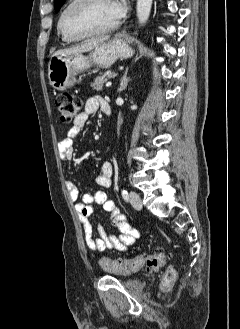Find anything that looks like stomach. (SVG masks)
Masks as SVG:
<instances>
[{"label":"stomach","instance_id":"stomach-1","mask_svg":"<svg viewBox=\"0 0 240 329\" xmlns=\"http://www.w3.org/2000/svg\"><path fill=\"white\" fill-rule=\"evenodd\" d=\"M133 54V49L124 38L115 37L94 48L88 56L82 53L52 56L48 64L50 85L58 91H64L74 86L78 73L88 69L92 64L109 67L118 58H129Z\"/></svg>","mask_w":240,"mask_h":329}]
</instances>
